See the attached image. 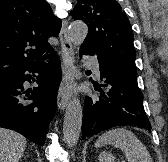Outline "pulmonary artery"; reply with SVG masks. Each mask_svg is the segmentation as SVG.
<instances>
[{
	"instance_id": "e3ab8cb5",
	"label": "pulmonary artery",
	"mask_w": 168,
	"mask_h": 162,
	"mask_svg": "<svg viewBox=\"0 0 168 162\" xmlns=\"http://www.w3.org/2000/svg\"><path fill=\"white\" fill-rule=\"evenodd\" d=\"M91 67L93 69V72L95 74L96 77H100V70H99V62L97 59H90L89 60Z\"/></svg>"
}]
</instances>
